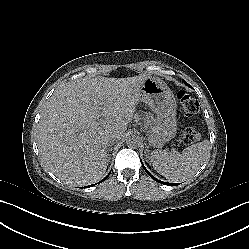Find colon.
Masks as SVG:
<instances>
[{"label": "colon", "mask_w": 249, "mask_h": 249, "mask_svg": "<svg viewBox=\"0 0 249 249\" xmlns=\"http://www.w3.org/2000/svg\"><path fill=\"white\" fill-rule=\"evenodd\" d=\"M177 99L180 103L181 110L186 117H193L199 112V103L187 91H178ZM183 138L189 143L195 142L199 138V133L192 128H187L184 131Z\"/></svg>", "instance_id": "colon-1"}]
</instances>
